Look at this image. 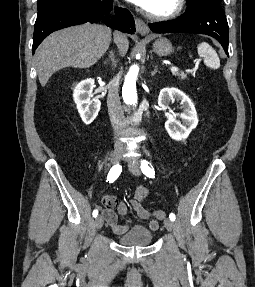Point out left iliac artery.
Instances as JSON below:
<instances>
[{
    "mask_svg": "<svg viewBox=\"0 0 255 287\" xmlns=\"http://www.w3.org/2000/svg\"><path fill=\"white\" fill-rule=\"evenodd\" d=\"M141 170H142L143 174H145L147 177L154 178V176H155L154 168L152 167V165L148 161H146V160L141 161ZM169 218L172 221H175V219H176V217L173 213H170Z\"/></svg>",
    "mask_w": 255,
    "mask_h": 287,
    "instance_id": "1",
    "label": "left iliac artery"
}]
</instances>
